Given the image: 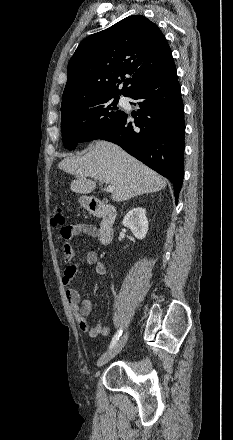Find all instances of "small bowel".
<instances>
[{"mask_svg": "<svg viewBox=\"0 0 233 440\" xmlns=\"http://www.w3.org/2000/svg\"><path fill=\"white\" fill-rule=\"evenodd\" d=\"M60 234L61 238L64 240V244L62 246L64 261L68 263L75 255V251L69 241L82 234L90 237H96L97 229L93 224L80 223L63 226ZM80 263L92 265L94 267V275L96 276H102L106 273V266L102 261L99 260L95 251H88L85 256L80 259ZM78 268L79 264H69L65 268L61 279L62 284L67 287L65 294L73 317L79 329L83 333L88 334L92 338L106 336L110 333V328L104 326L100 321L93 326L87 322V317L92 310V304L89 300L82 299L80 293L75 288L70 286L78 271Z\"/></svg>", "mask_w": 233, "mask_h": 440, "instance_id": "1", "label": "small bowel"}]
</instances>
